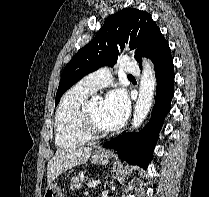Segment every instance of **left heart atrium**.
Listing matches in <instances>:
<instances>
[{"mask_svg":"<svg viewBox=\"0 0 209 197\" xmlns=\"http://www.w3.org/2000/svg\"><path fill=\"white\" fill-rule=\"evenodd\" d=\"M130 103L123 89L110 91L104 99L101 107V115L104 122L110 128L120 126L128 116Z\"/></svg>","mask_w":209,"mask_h":197,"instance_id":"1","label":"left heart atrium"}]
</instances>
